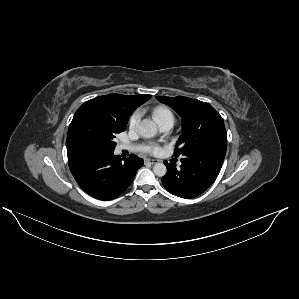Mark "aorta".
<instances>
[{
	"mask_svg": "<svg viewBox=\"0 0 299 299\" xmlns=\"http://www.w3.org/2000/svg\"><path fill=\"white\" fill-rule=\"evenodd\" d=\"M138 132L142 137L150 138L158 132L157 124L150 119H143L138 125ZM153 172L158 177H163L167 168L163 163H156L153 167Z\"/></svg>",
	"mask_w": 299,
	"mask_h": 299,
	"instance_id": "1",
	"label": "aorta"
}]
</instances>
